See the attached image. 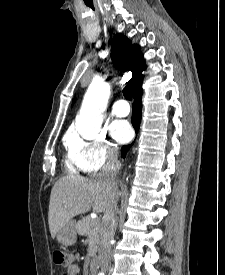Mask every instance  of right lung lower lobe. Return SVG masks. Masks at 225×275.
I'll return each mask as SVG.
<instances>
[{
  "mask_svg": "<svg viewBox=\"0 0 225 275\" xmlns=\"http://www.w3.org/2000/svg\"><path fill=\"white\" fill-rule=\"evenodd\" d=\"M133 97H134V103L132 105V124L137 131L140 126L141 122V97H142V87L138 88L136 91L133 92ZM132 144L129 145H124L121 149L122 156L125 157L126 152L130 149Z\"/></svg>",
  "mask_w": 225,
  "mask_h": 275,
  "instance_id": "1",
  "label": "right lung lower lobe"
}]
</instances>
